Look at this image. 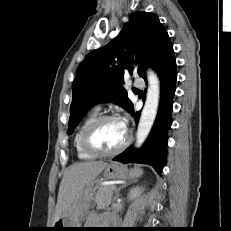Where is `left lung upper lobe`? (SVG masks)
<instances>
[{
	"label": "left lung upper lobe",
	"mask_w": 231,
	"mask_h": 231,
	"mask_svg": "<svg viewBox=\"0 0 231 231\" xmlns=\"http://www.w3.org/2000/svg\"><path fill=\"white\" fill-rule=\"evenodd\" d=\"M129 19L115 39L80 63L72 86L69 134L97 102L109 101L134 111L124 76L137 72L143 77L168 34L155 14L135 12Z\"/></svg>",
	"instance_id": "obj_1"
}]
</instances>
